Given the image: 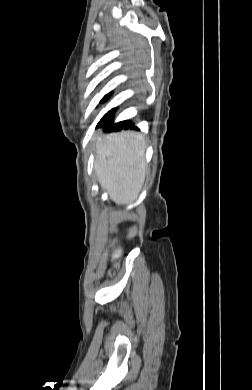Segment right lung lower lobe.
Returning a JSON list of instances; mask_svg holds the SVG:
<instances>
[{"label":"right lung lower lobe","instance_id":"1","mask_svg":"<svg viewBox=\"0 0 252 390\" xmlns=\"http://www.w3.org/2000/svg\"><path fill=\"white\" fill-rule=\"evenodd\" d=\"M106 124H104L102 126H104L105 130H109V131H117V130H121V129H137V127H135V125L129 120L122 121V122H119L117 124H114V125H111L108 127H106Z\"/></svg>","mask_w":252,"mask_h":390}]
</instances>
